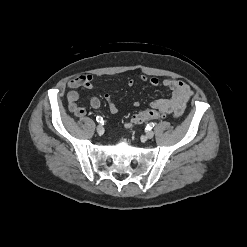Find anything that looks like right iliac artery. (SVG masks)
I'll return each instance as SVG.
<instances>
[{
  "label": "right iliac artery",
  "instance_id": "82829eb1",
  "mask_svg": "<svg viewBox=\"0 0 247 247\" xmlns=\"http://www.w3.org/2000/svg\"><path fill=\"white\" fill-rule=\"evenodd\" d=\"M96 120H97L98 123H103L104 122L103 118L101 116H97Z\"/></svg>",
  "mask_w": 247,
  "mask_h": 247
}]
</instances>
